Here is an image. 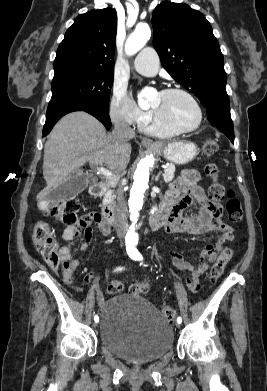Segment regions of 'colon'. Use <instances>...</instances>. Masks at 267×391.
Here are the masks:
<instances>
[{
    "label": "colon",
    "instance_id": "5ec220e1",
    "mask_svg": "<svg viewBox=\"0 0 267 391\" xmlns=\"http://www.w3.org/2000/svg\"><path fill=\"white\" fill-rule=\"evenodd\" d=\"M218 149V144L213 139H206L203 143V151L206 155L214 154ZM207 175L213 180L209 187V197L213 201H220L227 196L226 211L228 218L232 222H239L243 218V209L240 200L237 198L233 190L225 192L224 186L218 182V168L215 164L210 163L206 167ZM80 204L75 199L54 201L48 200L45 202L43 213L52 217L55 221L75 226L81 223L92 221L91 215L79 216L78 212ZM32 241L36 248L41 252L45 262L53 269H58L62 265V257L59 253L58 242L53 234L50 225L44 221L37 222L32 230ZM232 257V250L225 248L220 253L217 261L210 270L209 281L214 282L223 273L226 264ZM123 285L117 280H113L108 285V292L111 295L121 292ZM148 291L146 283H136L131 286L130 294L144 295ZM164 318L171 322L175 318L173 308L166 306L162 310Z\"/></svg>",
    "mask_w": 267,
    "mask_h": 391
}]
</instances>
